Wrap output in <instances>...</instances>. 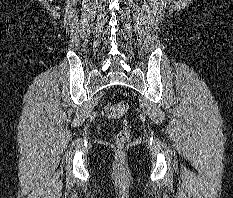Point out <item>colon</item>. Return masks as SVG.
I'll return each mask as SVG.
<instances>
[{
    "mask_svg": "<svg viewBox=\"0 0 233 198\" xmlns=\"http://www.w3.org/2000/svg\"><path fill=\"white\" fill-rule=\"evenodd\" d=\"M128 103L127 102H119L114 105H108L103 108V114L107 118H119L126 114L128 111ZM130 130L127 128L120 129L115 135V143L119 147H123L130 139Z\"/></svg>",
    "mask_w": 233,
    "mask_h": 198,
    "instance_id": "1",
    "label": "colon"
}]
</instances>
